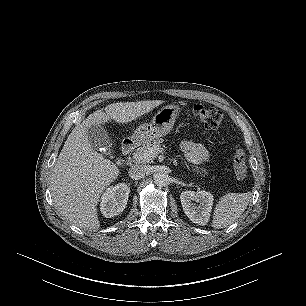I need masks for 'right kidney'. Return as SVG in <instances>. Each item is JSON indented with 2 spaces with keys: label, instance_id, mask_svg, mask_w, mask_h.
Segmentation results:
<instances>
[{
  "label": "right kidney",
  "instance_id": "ca27d5eb",
  "mask_svg": "<svg viewBox=\"0 0 306 306\" xmlns=\"http://www.w3.org/2000/svg\"><path fill=\"white\" fill-rule=\"evenodd\" d=\"M130 188L119 183L105 190L101 197L100 211L106 218L119 215L126 207Z\"/></svg>",
  "mask_w": 306,
  "mask_h": 306
}]
</instances>
